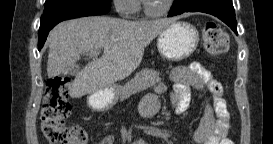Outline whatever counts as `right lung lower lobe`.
I'll use <instances>...</instances> for the list:
<instances>
[{"label":"right lung lower lobe","mask_w":273,"mask_h":144,"mask_svg":"<svg viewBox=\"0 0 273 144\" xmlns=\"http://www.w3.org/2000/svg\"><path fill=\"white\" fill-rule=\"evenodd\" d=\"M111 8L107 0H59L45 7L39 28L38 49L44 45L49 31L63 20L104 15Z\"/></svg>","instance_id":"obj_1"}]
</instances>
